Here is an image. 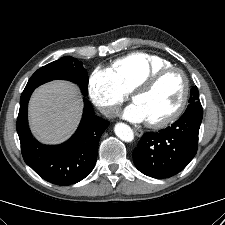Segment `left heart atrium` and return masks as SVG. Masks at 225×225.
<instances>
[{
    "mask_svg": "<svg viewBox=\"0 0 225 225\" xmlns=\"http://www.w3.org/2000/svg\"><path fill=\"white\" fill-rule=\"evenodd\" d=\"M124 118L132 122L146 121V116L141 107L135 103L129 105L123 113Z\"/></svg>",
    "mask_w": 225,
    "mask_h": 225,
    "instance_id": "left-heart-atrium-1",
    "label": "left heart atrium"
}]
</instances>
